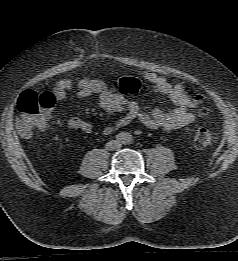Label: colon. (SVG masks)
Returning <instances> with one entry per match:
<instances>
[{"label": "colon", "mask_w": 238, "mask_h": 261, "mask_svg": "<svg viewBox=\"0 0 238 261\" xmlns=\"http://www.w3.org/2000/svg\"><path fill=\"white\" fill-rule=\"evenodd\" d=\"M113 88L122 94L136 93L141 82L134 77H123L112 84ZM199 105V112L206 115L208 110L203 106V95L186 90ZM54 97L49 92L35 93L33 91L24 92L17 104L18 116L16 127L24 137H30L36 129H40L45 122L47 112L55 104ZM215 135L208 126H200L195 129L192 135V142L198 148H205L213 144Z\"/></svg>", "instance_id": "1"}]
</instances>
